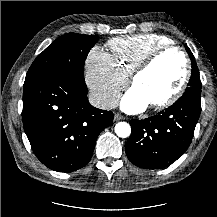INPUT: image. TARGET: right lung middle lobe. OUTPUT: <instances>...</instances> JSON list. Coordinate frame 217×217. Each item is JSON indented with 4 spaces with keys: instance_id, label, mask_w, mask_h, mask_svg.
Listing matches in <instances>:
<instances>
[{
    "instance_id": "dd1d6c3e",
    "label": "right lung middle lobe",
    "mask_w": 217,
    "mask_h": 217,
    "mask_svg": "<svg viewBox=\"0 0 217 217\" xmlns=\"http://www.w3.org/2000/svg\"><path fill=\"white\" fill-rule=\"evenodd\" d=\"M98 39L97 35L76 33H67L59 37L37 56L26 74L24 83L58 71L71 75L80 83H85L84 63Z\"/></svg>"
}]
</instances>
